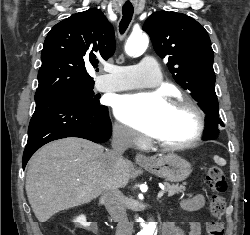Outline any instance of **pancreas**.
<instances>
[{"instance_id": "obj_1", "label": "pancreas", "mask_w": 250, "mask_h": 235, "mask_svg": "<svg viewBox=\"0 0 250 235\" xmlns=\"http://www.w3.org/2000/svg\"><path fill=\"white\" fill-rule=\"evenodd\" d=\"M166 189L168 192V196L171 197L175 194H179V193H183L185 190V186L184 185H178V184H166Z\"/></svg>"}]
</instances>
